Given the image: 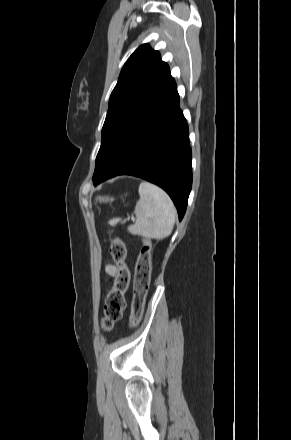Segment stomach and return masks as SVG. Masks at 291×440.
Instances as JSON below:
<instances>
[{
    "instance_id": "0dacf381",
    "label": "stomach",
    "mask_w": 291,
    "mask_h": 440,
    "mask_svg": "<svg viewBox=\"0 0 291 440\" xmlns=\"http://www.w3.org/2000/svg\"><path fill=\"white\" fill-rule=\"evenodd\" d=\"M97 201L99 202H112L114 200L113 197H109V196H99L96 198Z\"/></svg>"
}]
</instances>
